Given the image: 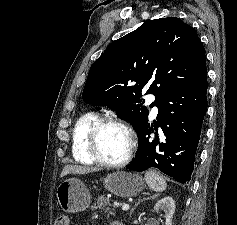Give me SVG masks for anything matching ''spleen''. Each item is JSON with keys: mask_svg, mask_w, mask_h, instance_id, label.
<instances>
[{"mask_svg": "<svg viewBox=\"0 0 237 225\" xmlns=\"http://www.w3.org/2000/svg\"><path fill=\"white\" fill-rule=\"evenodd\" d=\"M145 180L150 189L156 192H162L166 189V181L156 171L150 170L145 174Z\"/></svg>", "mask_w": 237, "mask_h": 225, "instance_id": "obj_1", "label": "spleen"}]
</instances>
